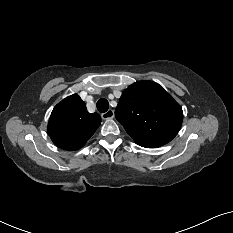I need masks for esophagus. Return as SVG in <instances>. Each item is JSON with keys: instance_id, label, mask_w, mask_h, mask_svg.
Here are the masks:
<instances>
[{"instance_id": "esophagus-1", "label": "esophagus", "mask_w": 233, "mask_h": 233, "mask_svg": "<svg viewBox=\"0 0 233 233\" xmlns=\"http://www.w3.org/2000/svg\"><path fill=\"white\" fill-rule=\"evenodd\" d=\"M101 117L104 120L112 119L114 117V111L112 109H109L105 113H102Z\"/></svg>"}]
</instances>
